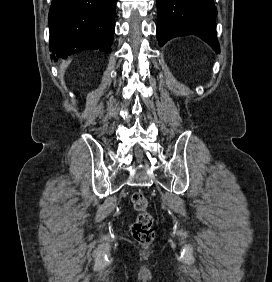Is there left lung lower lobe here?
<instances>
[{
    "mask_svg": "<svg viewBox=\"0 0 272 282\" xmlns=\"http://www.w3.org/2000/svg\"><path fill=\"white\" fill-rule=\"evenodd\" d=\"M157 7L160 46L171 38L193 34L220 53L214 29L217 10L213 0H157Z\"/></svg>",
    "mask_w": 272,
    "mask_h": 282,
    "instance_id": "1",
    "label": "left lung lower lobe"
}]
</instances>
